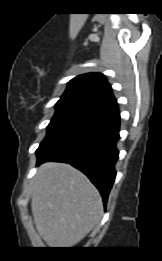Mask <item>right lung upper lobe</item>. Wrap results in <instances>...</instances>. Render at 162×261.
Masks as SVG:
<instances>
[{
  "instance_id": "right-lung-upper-lobe-1",
  "label": "right lung upper lobe",
  "mask_w": 162,
  "mask_h": 261,
  "mask_svg": "<svg viewBox=\"0 0 162 261\" xmlns=\"http://www.w3.org/2000/svg\"><path fill=\"white\" fill-rule=\"evenodd\" d=\"M64 94L84 95L101 102L103 107L116 102L111 86L100 73H87L73 78Z\"/></svg>"
}]
</instances>
